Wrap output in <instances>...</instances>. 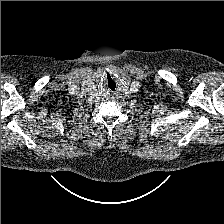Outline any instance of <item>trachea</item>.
<instances>
[{
	"label": "trachea",
	"mask_w": 224,
	"mask_h": 224,
	"mask_svg": "<svg viewBox=\"0 0 224 224\" xmlns=\"http://www.w3.org/2000/svg\"><path fill=\"white\" fill-rule=\"evenodd\" d=\"M116 86H117L116 82L111 77L106 80V88L107 89L114 91Z\"/></svg>",
	"instance_id": "trachea-1"
}]
</instances>
